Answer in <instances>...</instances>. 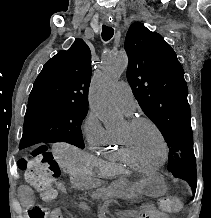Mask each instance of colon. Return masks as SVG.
Returning a JSON list of instances; mask_svg holds the SVG:
<instances>
[{"instance_id": "5ec220e1", "label": "colon", "mask_w": 211, "mask_h": 218, "mask_svg": "<svg viewBox=\"0 0 211 218\" xmlns=\"http://www.w3.org/2000/svg\"><path fill=\"white\" fill-rule=\"evenodd\" d=\"M18 166L25 172V179L30 186L45 200L56 197L54 184L60 175L59 166L52 153L45 145L36 146L29 156L19 160ZM180 207V201L174 197L164 198L160 201L163 211H175ZM29 218H50L49 210L41 206H31L28 210Z\"/></svg>"}]
</instances>
